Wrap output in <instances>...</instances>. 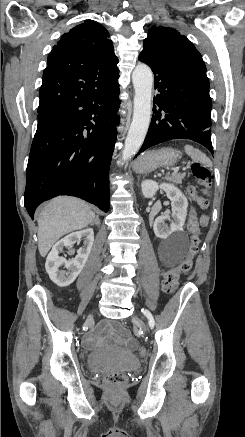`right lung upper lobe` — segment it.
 <instances>
[{
	"label": "right lung upper lobe",
	"mask_w": 245,
	"mask_h": 437,
	"mask_svg": "<svg viewBox=\"0 0 245 437\" xmlns=\"http://www.w3.org/2000/svg\"><path fill=\"white\" fill-rule=\"evenodd\" d=\"M118 59L108 31L93 20L63 34L47 59L38 113L66 100L91 96L119 78Z\"/></svg>",
	"instance_id": "cb5924a9"
}]
</instances>
